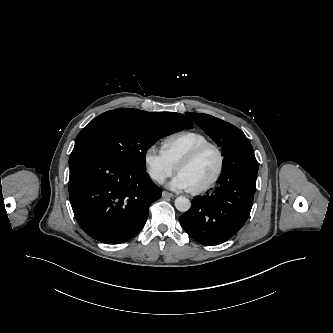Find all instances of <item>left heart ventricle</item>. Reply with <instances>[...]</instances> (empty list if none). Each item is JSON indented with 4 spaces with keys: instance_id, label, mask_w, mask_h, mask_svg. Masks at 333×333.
Listing matches in <instances>:
<instances>
[{
    "instance_id": "1",
    "label": "left heart ventricle",
    "mask_w": 333,
    "mask_h": 333,
    "mask_svg": "<svg viewBox=\"0 0 333 333\" xmlns=\"http://www.w3.org/2000/svg\"><path fill=\"white\" fill-rule=\"evenodd\" d=\"M217 166V153L213 149H208L195 161L182 167L179 173L184 176L191 189H195L203 186L213 177Z\"/></svg>"
}]
</instances>
